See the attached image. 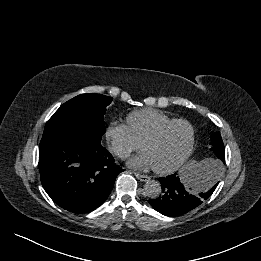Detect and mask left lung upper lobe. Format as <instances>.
<instances>
[{
  "label": "left lung upper lobe",
  "instance_id": "5c2ea615",
  "mask_svg": "<svg viewBox=\"0 0 261 261\" xmlns=\"http://www.w3.org/2000/svg\"><path fill=\"white\" fill-rule=\"evenodd\" d=\"M210 138L212 145L211 150L217 157V159H215L214 162H217L222 165V163H225V148L221 135L219 132L213 133Z\"/></svg>",
  "mask_w": 261,
  "mask_h": 261
}]
</instances>
